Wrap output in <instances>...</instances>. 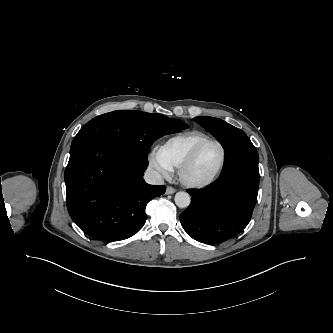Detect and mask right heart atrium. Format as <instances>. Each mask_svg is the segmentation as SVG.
Instances as JSON below:
<instances>
[{
    "mask_svg": "<svg viewBox=\"0 0 333 333\" xmlns=\"http://www.w3.org/2000/svg\"><path fill=\"white\" fill-rule=\"evenodd\" d=\"M148 163L150 168L159 177L168 178L173 173V167L164 159L158 148H154L150 151Z\"/></svg>",
    "mask_w": 333,
    "mask_h": 333,
    "instance_id": "right-heart-atrium-1",
    "label": "right heart atrium"
}]
</instances>
